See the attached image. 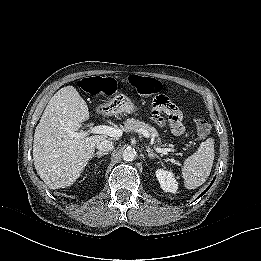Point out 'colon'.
<instances>
[{
    "label": "colon",
    "instance_id": "1",
    "mask_svg": "<svg viewBox=\"0 0 261 261\" xmlns=\"http://www.w3.org/2000/svg\"><path fill=\"white\" fill-rule=\"evenodd\" d=\"M130 83L141 95L153 96V111L159 117L161 113L166 114L169 125L176 134L184 132L182 113L171 103L167 96L161 93L162 86L159 81L150 77L133 75L130 78ZM79 87L91 95H112L117 91L118 86L116 81L111 78L90 77L81 80ZM195 123L202 134L209 131V124L205 120L195 118Z\"/></svg>",
    "mask_w": 261,
    "mask_h": 261
}]
</instances>
